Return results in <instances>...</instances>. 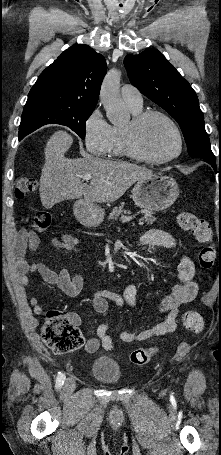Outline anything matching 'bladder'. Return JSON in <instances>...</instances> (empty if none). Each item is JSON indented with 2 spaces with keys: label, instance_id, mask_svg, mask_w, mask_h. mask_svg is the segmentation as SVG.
Segmentation results:
<instances>
[{
  "label": "bladder",
  "instance_id": "bladder-1",
  "mask_svg": "<svg viewBox=\"0 0 221 455\" xmlns=\"http://www.w3.org/2000/svg\"><path fill=\"white\" fill-rule=\"evenodd\" d=\"M91 371L94 377L103 382L114 384L120 381V366L112 360L96 359L92 364Z\"/></svg>",
  "mask_w": 221,
  "mask_h": 455
}]
</instances>
